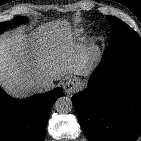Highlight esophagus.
I'll return each mask as SVG.
<instances>
[{
  "label": "esophagus",
  "instance_id": "esophagus-1",
  "mask_svg": "<svg viewBox=\"0 0 141 141\" xmlns=\"http://www.w3.org/2000/svg\"><path fill=\"white\" fill-rule=\"evenodd\" d=\"M79 86H80L79 79L70 78L65 82L63 88H64V91L70 95V94H73L74 92H76Z\"/></svg>",
  "mask_w": 141,
  "mask_h": 141
}]
</instances>
